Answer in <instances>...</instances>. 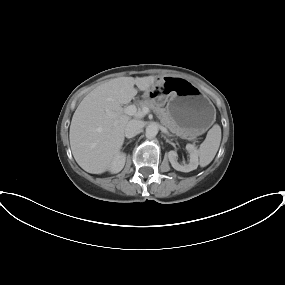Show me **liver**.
<instances>
[{
  "label": "liver",
  "mask_w": 285,
  "mask_h": 285,
  "mask_svg": "<svg viewBox=\"0 0 285 285\" xmlns=\"http://www.w3.org/2000/svg\"><path fill=\"white\" fill-rule=\"evenodd\" d=\"M156 76L119 77L93 89L78 105L71 121L69 139L78 165L88 173L101 174L120 153L130 117L121 105L148 90Z\"/></svg>",
  "instance_id": "obj_1"
}]
</instances>
